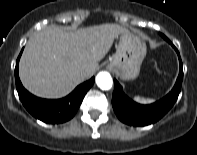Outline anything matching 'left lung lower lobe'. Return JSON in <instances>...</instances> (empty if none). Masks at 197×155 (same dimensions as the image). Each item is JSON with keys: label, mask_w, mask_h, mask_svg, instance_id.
<instances>
[{"label": "left lung lower lobe", "mask_w": 197, "mask_h": 155, "mask_svg": "<svg viewBox=\"0 0 197 155\" xmlns=\"http://www.w3.org/2000/svg\"><path fill=\"white\" fill-rule=\"evenodd\" d=\"M164 39L171 44L167 37H164ZM173 47L179 57V76L172 91L161 100L149 105L138 104L127 97L120 84L114 80L115 90L112 96V106L117 117L125 124L132 126H146L155 123L161 119L176 102L182 85L183 65L178 50L175 46Z\"/></svg>", "instance_id": "left-lung-lower-lobe-1"}]
</instances>
